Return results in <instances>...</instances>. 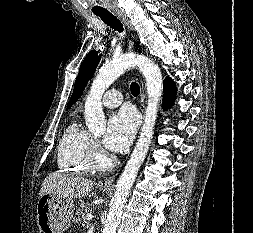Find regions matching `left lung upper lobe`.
I'll use <instances>...</instances> for the list:
<instances>
[{"label": "left lung upper lobe", "mask_w": 253, "mask_h": 233, "mask_svg": "<svg viewBox=\"0 0 253 233\" xmlns=\"http://www.w3.org/2000/svg\"><path fill=\"white\" fill-rule=\"evenodd\" d=\"M100 57L101 55H98V52L95 50L90 51L86 55L80 66L79 74L75 81L73 94L70 98L67 109L70 108L72 104L75 103L82 94V91L87 85L88 80H90L96 70V67L100 61Z\"/></svg>", "instance_id": "obj_1"}]
</instances>
